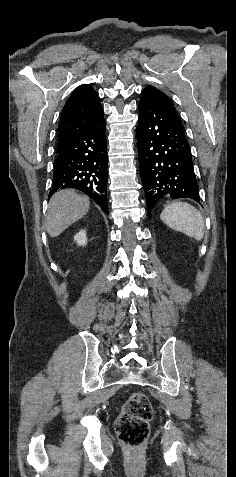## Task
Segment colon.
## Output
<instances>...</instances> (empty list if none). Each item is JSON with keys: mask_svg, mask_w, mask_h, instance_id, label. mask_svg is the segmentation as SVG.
<instances>
[{"mask_svg": "<svg viewBox=\"0 0 236 477\" xmlns=\"http://www.w3.org/2000/svg\"><path fill=\"white\" fill-rule=\"evenodd\" d=\"M152 416L153 406L148 397L139 391L131 393L116 421L119 441L128 448L142 446L149 436Z\"/></svg>", "mask_w": 236, "mask_h": 477, "instance_id": "colon-1", "label": "colon"}]
</instances>
